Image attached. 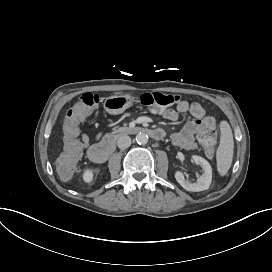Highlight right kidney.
<instances>
[{"instance_id": "ca27d5eb", "label": "right kidney", "mask_w": 272, "mask_h": 272, "mask_svg": "<svg viewBox=\"0 0 272 272\" xmlns=\"http://www.w3.org/2000/svg\"><path fill=\"white\" fill-rule=\"evenodd\" d=\"M84 179L85 181H90L92 179V173L87 171L85 174H84Z\"/></svg>"}]
</instances>
